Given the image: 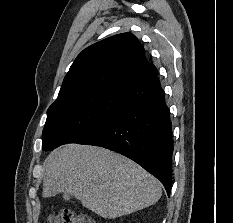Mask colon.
<instances>
[{
	"label": "colon",
	"mask_w": 233,
	"mask_h": 223,
	"mask_svg": "<svg viewBox=\"0 0 233 223\" xmlns=\"http://www.w3.org/2000/svg\"><path fill=\"white\" fill-rule=\"evenodd\" d=\"M48 223H94L84 214H76L70 209L64 208L58 216H50Z\"/></svg>",
	"instance_id": "5ec220e1"
}]
</instances>
